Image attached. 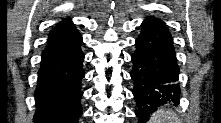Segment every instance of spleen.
<instances>
[{
	"mask_svg": "<svg viewBox=\"0 0 221 123\" xmlns=\"http://www.w3.org/2000/svg\"><path fill=\"white\" fill-rule=\"evenodd\" d=\"M177 115L169 109H158L149 119L148 123H177Z\"/></svg>",
	"mask_w": 221,
	"mask_h": 123,
	"instance_id": "3e777b00",
	"label": "spleen"
}]
</instances>
